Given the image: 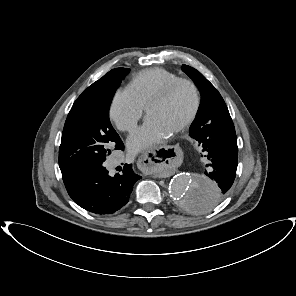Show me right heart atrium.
<instances>
[{"label": "right heart atrium", "instance_id": "obj_1", "mask_svg": "<svg viewBox=\"0 0 296 296\" xmlns=\"http://www.w3.org/2000/svg\"><path fill=\"white\" fill-rule=\"evenodd\" d=\"M143 113L144 107L126 90H120L114 94L109 107V117L120 131L132 132Z\"/></svg>", "mask_w": 296, "mask_h": 296}]
</instances>
